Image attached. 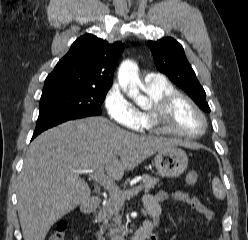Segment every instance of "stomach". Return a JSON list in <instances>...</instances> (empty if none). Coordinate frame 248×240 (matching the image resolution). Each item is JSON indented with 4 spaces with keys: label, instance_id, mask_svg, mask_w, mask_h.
<instances>
[{
    "label": "stomach",
    "instance_id": "stomach-1",
    "mask_svg": "<svg viewBox=\"0 0 248 240\" xmlns=\"http://www.w3.org/2000/svg\"><path fill=\"white\" fill-rule=\"evenodd\" d=\"M155 167L163 177H177L181 175L188 165V157L184 150L174 146L158 151L154 158Z\"/></svg>",
    "mask_w": 248,
    "mask_h": 240
}]
</instances>
